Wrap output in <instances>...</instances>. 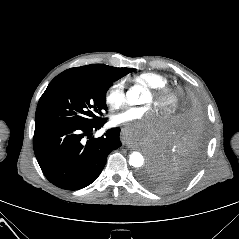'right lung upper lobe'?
<instances>
[{
	"instance_id": "right-lung-upper-lobe-1",
	"label": "right lung upper lobe",
	"mask_w": 239,
	"mask_h": 239,
	"mask_svg": "<svg viewBox=\"0 0 239 239\" xmlns=\"http://www.w3.org/2000/svg\"><path fill=\"white\" fill-rule=\"evenodd\" d=\"M130 68H116L107 66L104 64H92L87 66L75 67L65 70L58 76H69V75H78V76H90V77H103L109 75H115L118 73H123L128 71Z\"/></svg>"
}]
</instances>
